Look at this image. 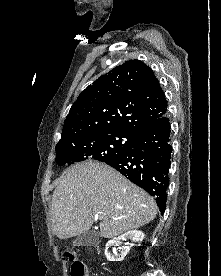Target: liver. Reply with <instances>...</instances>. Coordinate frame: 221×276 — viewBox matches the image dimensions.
<instances>
[{
  "label": "liver",
  "mask_w": 221,
  "mask_h": 276,
  "mask_svg": "<svg viewBox=\"0 0 221 276\" xmlns=\"http://www.w3.org/2000/svg\"><path fill=\"white\" fill-rule=\"evenodd\" d=\"M155 200L110 166L85 161L69 168L53 192L51 221L54 234L67 239L88 232L95 216L100 235L114 238L151 222Z\"/></svg>",
  "instance_id": "6515ba94"
}]
</instances>
